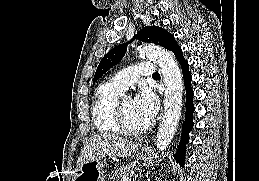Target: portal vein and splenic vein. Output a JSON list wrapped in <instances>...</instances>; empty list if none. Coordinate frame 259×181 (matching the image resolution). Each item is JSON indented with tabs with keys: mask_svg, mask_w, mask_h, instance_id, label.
<instances>
[{
	"mask_svg": "<svg viewBox=\"0 0 259 181\" xmlns=\"http://www.w3.org/2000/svg\"><path fill=\"white\" fill-rule=\"evenodd\" d=\"M122 181H131V179L129 177H123Z\"/></svg>",
	"mask_w": 259,
	"mask_h": 181,
	"instance_id": "portal-vein-and-splenic-vein-1",
	"label": "portal vein and splenic vein"
}]
</instances>
